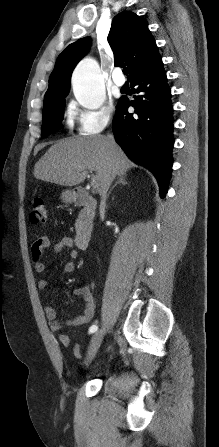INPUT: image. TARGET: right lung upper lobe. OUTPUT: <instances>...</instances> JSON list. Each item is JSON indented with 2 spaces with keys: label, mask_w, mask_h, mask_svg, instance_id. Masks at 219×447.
<instances>
[{
  "label": "right lung upper lobe",
  "mask_w": 219,
  "mask_h": 447,
  "mask_svg": "<svg viewBox=\"0 0 219 447\" xmlns=\"http://www.w3.org/2000/svg\"><path fill=\"white\" fill-rule=\"evenodd\" d=\"M108 42L114 53L115 65L126 64L129 67V81L161 58L147 21L130 11L119 13L114 18ZM89 47L90 38H81L68 45L58 56L44 100L68 94L72 71Z\"/></svg>",
  "instance_id": "obj_1"
}]
</instances>
